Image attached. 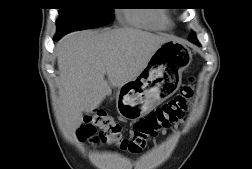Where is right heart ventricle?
<instances>
[{
	"mask_svg": "<svg viewBox=\"0 0 252 169\" xmlns=\"http://www.w3.org/2000/svg\"><path fill=\"white\" fill-rule=\"evenodd\" d=\"M125 17L134 25L145 28H165L168 25L166 16L158 12L129 10Z\"/></svg>",
	"mask_w": 252,
	"mask_h": 169,
	"instance_id": "e07e8e85",
	"label": "right heart ventricle"
}]
</instances>
